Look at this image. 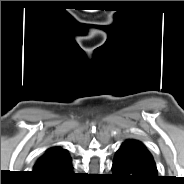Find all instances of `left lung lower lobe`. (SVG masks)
<instances>
[{"mask_svg":"<svg viewBox=\"0 0 184 184\" xmlns=\"http://www.w3.org/2000/svg\"><path fill=\"white\" fill-rule=\"evenodd\" d=\"M112 172L124 184H155L159 178L151 154L136 140L122 143L113 160Z\"/></svg>","mask_w":184,"mask_h":184,"instance_id":"obj_1","label":"left lung lower lobe"}]
</instances>
